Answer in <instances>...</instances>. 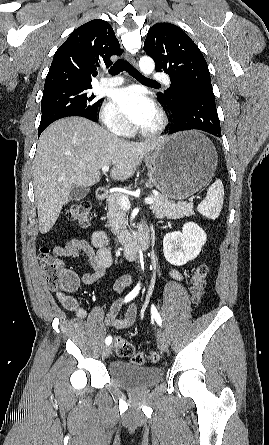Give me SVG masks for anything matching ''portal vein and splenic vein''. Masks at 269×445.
I'll use <instances>...</instances> for the list:
<instances>
[{"label": "portal vein and splenic vein", "mask_w": 269, "mask_h": 445, "mask_svg": "<svg viewBox=\"0 0 269 445\" xmlns=\"http://www.w3.org/2000/svg\"><path fill=\"white\" fill-rule=\"evenodd\" d=\"M101 170L104 173L108 172L109 171V165L103 166ZM144 201H145L146 204H153L155 202L154 198H152V197H147V198H145ZM119 202H120V205H121V207L123 209H129L130 208L129 199L125 195H122V196L119 197Z\"/></svg>", "instance_id": "1"}]
</instances>
